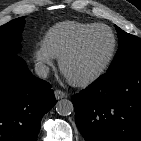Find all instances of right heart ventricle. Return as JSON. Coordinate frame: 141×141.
Masks as SVG:
<instances>
[{
  "label": "right heart ventricle",
  "instance_id": "1",
  "mask_svg": "<svg viewBox=\"0 0 141 141\" xmlns=\"http://www.w3.org/2000/svg\"><path fill=\"white\" fill-rule=\"evenodd\" d=\"M94 24L74 20L57 23L44 34L42 46L53 58L59 59L79 35Z\"/></svg>",
  "mask_w": 141,
  "mask_h": 141
}]
</instances>
